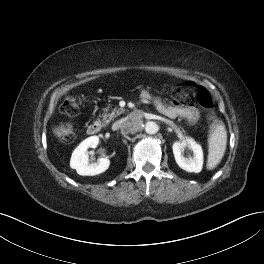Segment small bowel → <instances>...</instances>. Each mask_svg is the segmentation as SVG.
<instances>
[{
    "instance_id": "obj_1",
    "label": "small bowel",
    "mask_w": 264,
    "mask_h": 264,
    "mask_svg": "<svg viewBox=\"0 0 264 264\" xmlns=\"http://www.w3.org/2000/svg\"><path fill=\"white\" fill-rule=\"evenodd\" d=\"M143 99L153 100L158 110L169 117H182L189 122H196L200 118V112L193 106H183L178 103H166L159 98H154L147 91L141 93Z\"/></svg>"
}]
</instances>
